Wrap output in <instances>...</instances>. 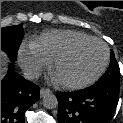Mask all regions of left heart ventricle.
<instances>
[{
    "label": "left heart ventricle",
    "instance_id": "obj_1",
    "mask_svg": "<svg viewBox=\"0 0 123 123\" xmlns=\"http://www.w3.org/2000/svg\"><path fill=\"white\" fill-rule=\"evenodd\" d=\"M105 50L99 43H88L61 62L56 77L62 81L80 82L92 77L102 65Z\"/></svg>",
    "mask_w": 123,
    "mask_h": 123
}]
</instances>
